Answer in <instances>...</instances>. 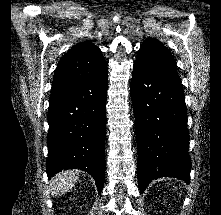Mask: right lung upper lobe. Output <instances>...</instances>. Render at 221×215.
<instances>
[{"label": "right lung upper lobe", "mask_w": 221, "mask_h": 215, "mask_svg": "<svg viewBox=\"0 0 221 215\" xmlns=\"http://www.w3.org/2000/svg\"><path fill=\"white\" fill-rule=\"evenodd\" d=\"M107 62L100 49L91 42L73 46L59 62L51 95L70 90L107 70Z\"/></svg>", "instance_id": "cb5924a9"}]
</instances>
